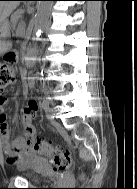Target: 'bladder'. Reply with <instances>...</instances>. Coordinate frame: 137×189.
I'll return each mask as SVG.
<instances>
[{"instance_id": "1", "label": "bladder", "mask_w": 137, "mask_h": 189, "mask_svg": "<svg viewBox=\"0 0 137 189\" xmlns=\"http://www.w3.org/2000/svg\"><path fill=\"white\" fill-rule=\"evenodd\" d=\"M34 164L35 165L31 166L30 170L25 173V178L31 183H38L53 172V168L47 160H38L34 162Z\"/></svg>"}]
</instances>
